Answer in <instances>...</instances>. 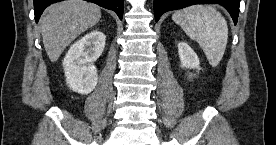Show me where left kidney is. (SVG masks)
I'll return each mask as SVG.
<instances>
[{
	"mask_svg": "<svg viewBox=\"0 0 276 145\" xmlns=\"http://www.w3.org/2000/svg\"><path fill=\"white\" fill-rule=\"evenodd\" d=\"M178 53L183 67L190 69L199 68V58L186 42L178 43Z\"/></svg>",
	"mask_w": 276,
	"mask_h": 145,
	"instance_id": "left-kidney-1",
	"label": "left kidney"
}]
</instances>
